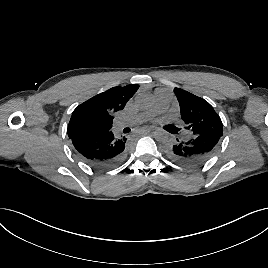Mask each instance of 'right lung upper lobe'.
Wrapping results in <instances>:
<instances>
[{
  "instance_id": "right-lung-upper-lobe-1",
  "label": "right lung upper lobe",
  "mask_w": 268,
  "mask_h": 268,
  "mask_svg": "<svg viewBox=\"0 0 268 268\" xmlns=\"http://www.w3.org/2000/svg\"><path fill=\"white\" fill-rule=\"evenodd\" d=\"M138 88L137 84L113 87L80 104L73 111L68 125L69 138L75 136L74 129L81 124L90 125L96 134L110 131L114 113L125 107Z\"/></svg>"
}]
</instances>
